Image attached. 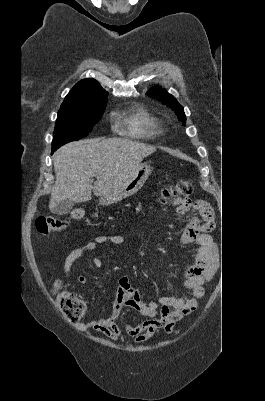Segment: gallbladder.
<instances>
[{
    "label": "gallbladder",
    "instance_id": "bac80fb5",
    "mask_svg": "<svg viewBox=\"0 0 265 401\" xmlns=\"http://www.w3.org/2000/svg\"><path fill=\"white\" fill-rule=\"evenodd\" d=\"M74 205L73 201H69V198H66V201H62L57 207H53L51 213H54V215H67L73 209Z\"/></svg>",
    "mask_w": 265,
    "mask_h": 401
}]
</instances>
